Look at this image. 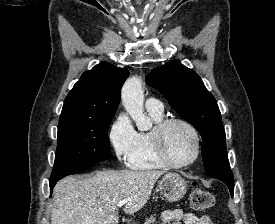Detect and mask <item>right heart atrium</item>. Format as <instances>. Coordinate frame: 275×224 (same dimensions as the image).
<instances>
[{
  "mask_svg": "<svg viewBox=\"0 0 275 224\" xmlns=\"http://www.w3.org/2000/svg\"><path fill=\"white\" fill-rule=\"evenodd\" d=\"M136 135L130 119L126 114H120L113 122L109 131L112 149L120 161H127L136 144Z\"/></svg>",
  "mask_w": 275,
  "mask_h": 224,
  "instance_id": "d8ad5b80",
  "label": "right heart atrium"
}]
</instances>
